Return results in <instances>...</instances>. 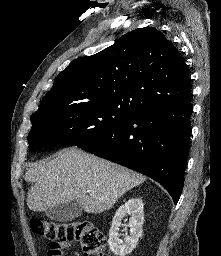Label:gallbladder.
Instances as JSON below:
<instances>
[{"label": "gallbladder", "instance_id": "gallbladder-1", "mask_svg": "<svg viewBox=\"0 0 221 256\" xmlns=\"http://www.w3.org/2000/svg\"><path fill=\"white\" fill-rule=\"evenodd\" d=\"M82 214V207L80 203H65V204H58L51 208H49L45 215L51 220L59 221V222H68Z\"/></svg>", "mask_w": 221, "mask_h": 256}]
</instances>
